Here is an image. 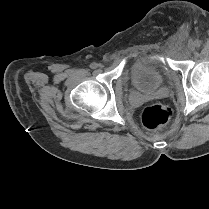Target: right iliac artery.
<instances>
[{"label":"right iliac artery","instance_id":"82829eb1","mask_svg":"<svg viewBox=\"0 0 209 209\" xmlns=\"http://www.w3.org/2000/svg\"><path fill=\"white\" fill-rule=\"evenodd\" d=\"M90 67H91L92 69H95V68H97V64H96V63H91V64H90Z\"/></svg>","mask_w":209,"mask_h":209}]
</instances>
